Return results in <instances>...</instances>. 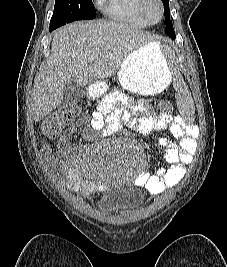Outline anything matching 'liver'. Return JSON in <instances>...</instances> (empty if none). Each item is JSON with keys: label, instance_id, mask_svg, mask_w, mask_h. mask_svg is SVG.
Returning a JSON list of instances; mask_svg holds the SVG:
<instances>
[{"label": "liver", "instance_id": "6515ba94", "mask_svg": "<svg viewBox=\"0 0 227 267\" xmlns=\"http://www.w3.org/2000/svg\"><path fill=\"white\" fill-rule=\"evenodd\" d=\"M152 40L137 26L115 21H81L56 30L51 55L32 91L34 121L40 122L61 103L67 84L84 87L111 77L130 53Z\"/></svg>", "mask_w": 227, "mask_h": 267}]
</instances>
